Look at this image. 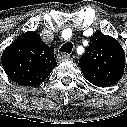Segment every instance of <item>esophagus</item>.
<instances>
[{
    "mask_svg": "<svg viewBox=\"0 0 127 127\" xmlns=\"http://www.w3.org/2000/svg\"><path fill=\"white\" fill-rule=\"evenodd\" d=\"M57 59H58L59 61L68 60V59H70V55H69V54H66V53H59V54L57 55Z\"/></svg>",
    "mask_w": 127,
    "mask_h": 127,
    "instance_id": "34e87169",
    "label": "esophagus"
}]
</instances>
